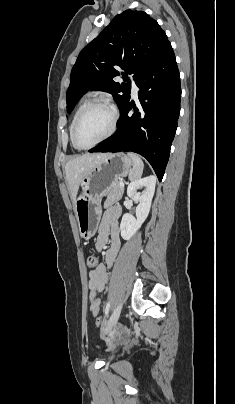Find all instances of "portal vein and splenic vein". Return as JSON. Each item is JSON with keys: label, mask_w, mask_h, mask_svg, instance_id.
<instances>
[{"label": "portal vein and splenic vein", "mask_w": 235, "mask_h": 404, "mask_svg": "<svg viewBox=\"0 0 235 404\" xmlns=\"http://www.w3.org/2000/svg\"><path fill=\"white\" fill-rule=\"evenodd\" d=\"M120 187L124 188V183H120Z\"/></svg>", "instance_id": "portal-vein-and-splenic-vein-1"}]
</instances>
